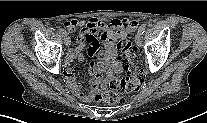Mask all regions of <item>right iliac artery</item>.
Segmentation results:
<instances>
[{
	"mask_svg": "<svg viewBox=\"0 0 207 123\" xmlns=\"http://www.w3.org/2000/svg\"><path fill=\"white\" fill-rule=\"evenodd\" d=\"M59 33L62 34V35H66V31L62 28L59 29Z\"/></svg>",
	"mask_w": 207,
	"mask_h": 123,
	"instance_id": "obj_1",
	"label": "right iliac artery"
}]
</instances>
